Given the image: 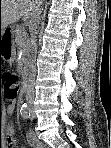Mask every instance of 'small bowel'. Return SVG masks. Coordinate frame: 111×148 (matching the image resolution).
<instances>
[{"label":"small bowel","instance_id":"c3829d8e","mask_svg":"<svg viewBox=\"0 0 111 148\" xmlns=\"http://www.w3.org/2000/svg\"><path fill=\"white\" fill-rule=\"evenodd\" d=\"M15 110V103H11L7 107V112L12 114ZM6 136H7V148L17 147L16 142L14 140V127L13 125H8L6 129ZM27 141L30 147L32 148H42L45 147L35 136L34 133L29 132L27 133Z\"/></svg>","mask_w":111,"mask_h":148}]
</instances>
